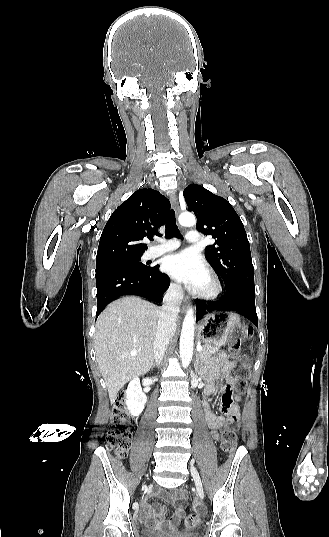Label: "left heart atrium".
<instances>
[{
  "instance_id": "39dd6f15",
  "label": "left heart atrium",
  "mask_w": 329,
  "mask_h": 537,
  "mask_svg": "<svg viewBox=\"0 0 329 537\" xmlns=\"http://www.w3.org/2000/svg\"><path fill=\"white\" fill-rule=\"evenodd\" d=\"M164 270L177 281L199 289L207 277V268L202 258L194 251L184 250L167 256Z\"/></svg>"
}]
</instances>
